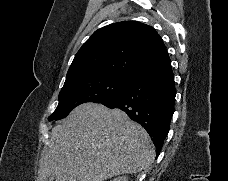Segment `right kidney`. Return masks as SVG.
<instances>
[{
  "mask_svg": "<svg viewBox=\"0 0 228 181\" xmlns=\"http://www.w3.org/2000/svg\"><path fill=\"white\" fill-rule=\"evenodd\" d=\"M113 181H128V177H117V179H113Z\"/></svg>",
  "mask_w": 228,
  "mask_h": 181,
  "instance_id": "right-kidney-1",
  "label": "right kidney"
}]
</instances>
